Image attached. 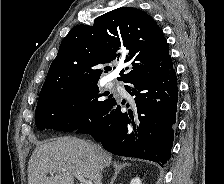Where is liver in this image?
<instances>
[{"label": "liver", "mask_w": 224, "mask_h": 184, "mask_svg": "<svg viewBox=\"0 0 224 184\" xmlns=\"http://www.w3.org/2000/svg\"><path fill=\"white\" fill-rule=\"evenodd\" d=\"M111 163L112 156L98 145L74 137L55 138L32 153L28 184H74L75 174L102 184V170Z\"/></svg>", "instance_id": "6515ba94"}]
</instances>
